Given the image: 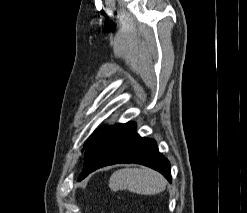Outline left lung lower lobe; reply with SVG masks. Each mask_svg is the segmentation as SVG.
<instances>
[{"instance_id":"0a47b994","label":"left lung lower lobe","mask_w":247,"mask_h":213,"mask_svg":"<svg viewBox=\"0 0 247 213\" xmlns=\"http://www.w3.org/2000/svg\"><path fill=\"white\" fill-rule=\"evenodd\" d=\"M118 163L148 166L171 182L169 161L159 152L155 140L140 137L136 133V125L132 122L110 127L89 146L78 180L98 168Z\"/></svg>"}]
</instances>
